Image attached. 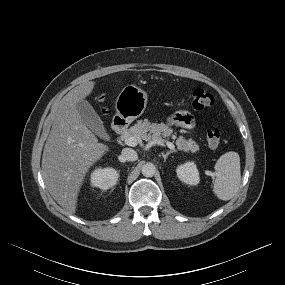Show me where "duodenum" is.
<instances>
[{
	"instance_id": "obj_1",
	"label": "duodenum",
	"mask_w": 285,
	"mask_h": 285,
	"mask_svg": "<svg viewBox=\"0 0 285 285\" xmlns=\"http://www.w3.org/2000/svg\"><path fill=\"white\" fill-rule=\"evenodd\" d=\"M128 127V123L124 118L116 117L113 122V130L117 135H122Z\"/></svg>"
}]
</instances>
